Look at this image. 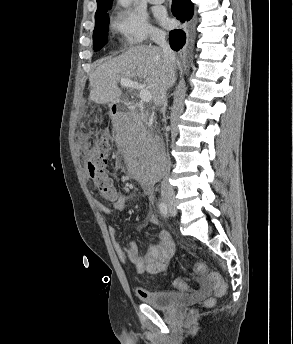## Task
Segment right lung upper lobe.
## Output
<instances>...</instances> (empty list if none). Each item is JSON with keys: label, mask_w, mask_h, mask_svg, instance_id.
I'll return each mask as SVG.
<instances>
[{"label": "right lung upper lobe", "mask_w": 293, "mask_h": 344, "mask_svg": "<svg viewBox=\"0 0 293 344\" xmlns=\"http://www.w3.org/2000/svg\"><path fill=\"white\" fill-rule=\"evenodd\" d=\"M112 2L113 0H97V11L112 5Z\"/></svg>", "instance_id": "obj_1"}]
</instances>
